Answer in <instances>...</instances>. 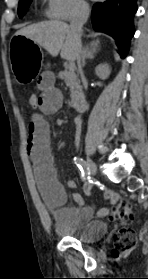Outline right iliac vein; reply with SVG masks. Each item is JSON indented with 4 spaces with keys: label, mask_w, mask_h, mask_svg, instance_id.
Wrapping results in <instances>:
<instances>
[{
    "label": "right iliac vein",
    "mask_w": 148,
    "mask_h": 279,
    "mask_svg": "<svg viewBox=\"0 0 148 279\" xmlns=\"http://www.w3.org/2000/svg\"><path fill=\"white\" fill-rule=\"evenodd\" d=\"M87 166L89 168L91 175L95 176L97 172L96 165L90 157H87Z\"/></svg>",
    "instance_id": "obj_1"
}]
</instances>
